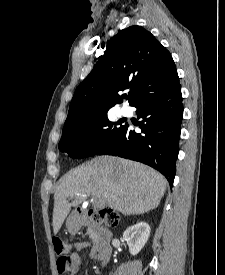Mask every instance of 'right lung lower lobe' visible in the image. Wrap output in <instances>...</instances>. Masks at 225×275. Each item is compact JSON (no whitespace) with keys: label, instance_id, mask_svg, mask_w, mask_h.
Segmentation results:
<instances>
[{"label":"right lung lower lobe","instance_id":"1","mask_svg":"<svg viewBox=\"0 0 225 275\" xmlns=\"http://www.w3.org/2000/svg\"><path fill=\"white\" fill-rule=\"evenodd\" d=\"M142 133L125 124L119 135L103 146L98 155H114L136 160L161 172L170 187L175 177V162L183 117L181 87L178 81L149 94L134 105Z\"/></svg>","mask_w":225,"mask_h":275}]
</instances>
